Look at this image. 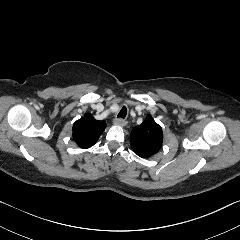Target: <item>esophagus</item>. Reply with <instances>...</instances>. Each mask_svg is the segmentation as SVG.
I'll return each instance as SVG.
<instances>
[{
    "label": "esophagus",
    "mask_w": 240,
    "mask_h": 240,
    "mask_svg": "<svg viewBox=\"0 0 240 240\" xmlns=\"http://www.w3.org/2000/svg\"><path fill=\"white\" fill-rule=\"evenodd\" d=\"M113 122H114L115 125H118L120 127H124L126 125L125 120H123L122 118L114 119Z\"/></svg>",
    "instance_id": "1"
}]
</instances>
